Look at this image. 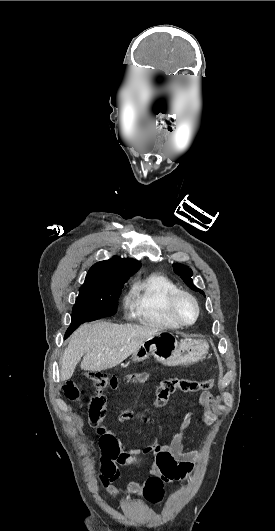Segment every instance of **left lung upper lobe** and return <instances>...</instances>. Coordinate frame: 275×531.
I'll return each instance as SVG.
<instances>
[{
    "label": "left lung upper lobe",
    "instance_id": "obj_1",
    "mask_svg": "<svg viewBox=\"0 0 275 531\" xmlns=\"http://www.w3.org/2000/svg\"><path fill=\"white\" fill-rule=\"evenodd\" d=\"M174 272L184 280V282L194 291H198L204 295V292L197 288L192 282V270L183 264H173Z\"/></svg>",
    "mask_w": 275,
    "mask_h": 531
}]
</instances>
